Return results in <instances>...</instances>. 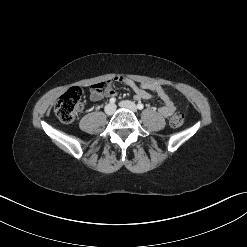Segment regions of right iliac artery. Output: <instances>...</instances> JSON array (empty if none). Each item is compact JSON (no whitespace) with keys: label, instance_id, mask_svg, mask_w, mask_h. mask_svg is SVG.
<instances>
[{"label":"right iliac artery","instance_id":"1","mask_svg":"<svg viewBox=\"0 0 247 247\" xmlns=\"http://www.w3.org/2000/svg\"><path fill=\"white\" fill-rule=\"evenodd\" d=\"M109 102H110L111 104H114V103L116 102V99H115V98H111V99L109 100Z\"/></svg>","mask_w":247,"mask_h":247}]
</instances>
